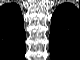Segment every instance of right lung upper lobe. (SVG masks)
Masks as SVG:
<instances>
[{
    "label": "right lung upper lobe",
    "instance_id": "right-lung-upper-lobe-1",
    "mask_svg": "<svg viewBox=\"0 0 80 60\" xmlns=\"http://www.w3.org/2000/svg\"><path fill=\"white\" fill-rule=\"evenodd\" d=\"M26 33L20 7L15 3L0 8L1 54L20 53L25 49Z\"/></svg>",
    "mask_w": 80,
    "mask_h": 60
}]
</instances>
